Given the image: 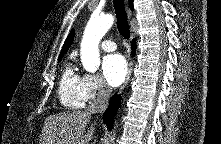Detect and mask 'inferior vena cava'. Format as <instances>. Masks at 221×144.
<instances>
[{"mask_svg":"<svg viewBox=\"0 0 221 144\" xmlns=\"http://www.w3.org/2000/svg\"><path fill=\"white\" fill-rule=\"evenodd\" d=\"M111 89L107 85H102L97 93V97L89 105L87 111L90 113H103L109 104Z\"/></svg>","mask_w":221,"mask_h":144,"instance_id":"602c4592","label":"inferior vena cava"}]
</instances>
